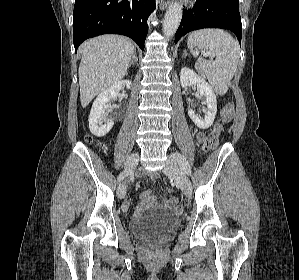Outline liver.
<instances>
[{
    "instance_id": "1",
    "label": "liver",
    "mask_w": 299,
    "mask_h": 280,
    "mask_svg": "<svg viewBox=\"0 0 299 280\" xmlns=\"http://www.w3.org/2000/svg\"><path fill=\"white\" fill-rule=\"evenodd\" d=\"M134 51L133 43L118 35L98 36L80 46L79 86L82 107H86L96 95L126 75Z\"/></svg>"
}]
</instances>
